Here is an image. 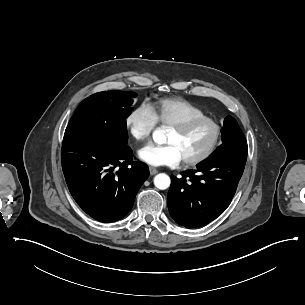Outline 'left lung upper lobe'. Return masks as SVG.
Wrapping results in <instances>:
<instances>
[{
	"instance_id": "obj_1",
	"label": "left lung upper lobe",
	"mask_w": 305,
	"mask_h": 305,
	"mask_svg": "<svg viewBox=\"0 0 305 305\" xmlns=\"http://www.w3.org/2000/svg\"><path fill=\"white\" fill-rule=\"evenodd\" d=\"M223 143L213 155L225 153H247V141L236 120L231 116L224 119L221 129Z\"/></svg>"
}]
</instances>
